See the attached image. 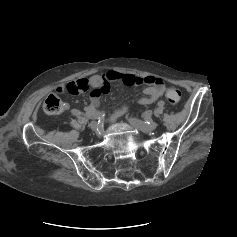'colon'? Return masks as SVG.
<instances>
[{
	"mask_svg": "<svg viewBox=\"0 0 237 237\" xmlns=\"http://www.w3.org/2000/svg\"><path fill=\"white\" fill-rule=\"evenodd\" d=\"M167 101L175 105L181 99V92L175 87H168L165 92ZM43 110L50 115L59 114L63 110V103L60 97L56 94H50L43 102Z\"/></svg>",
	"mask_w": 237,
	"mask_h": 237,
	"instance_id": "obj_1",
	"label": "colon"
}]
</instances>
